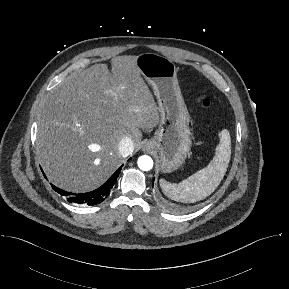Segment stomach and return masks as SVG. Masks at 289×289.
<instances>
[{
    "label": "stomach",
    "mask_w": 289,
    "mask_h": 289,
    "mask_svg": "<svg viewBox=\"0 0 289 289\" xmlns=\"http://www.w3.org/2000/svg\"><path fill=\"white\" fill-rule=\"evenodd\" d=\"M141 75L157 97L160 122L148 145L158 151L162 172H172L184 163L191 148L189 113L177 79V68L167 57L143 53L136 57Z\"/></svg>",
    "instance_id": "obj_1"
}]
</instances>
